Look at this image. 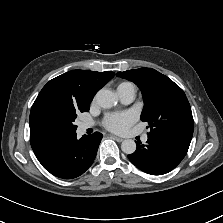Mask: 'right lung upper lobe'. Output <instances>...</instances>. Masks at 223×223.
Wrapping results in <instances>:
<instances>
[{
    "label": "right lung upper lobe",
    "instance_id": "1",
    "mask_svg": "<svg viewBox=\"0 0 223 223\" xmlns=\"http://www.w3.org/2000/svg\"><path fill=\"white\" fill-rule=\"evenodd\" d=\"M114 72H96L89 70H72L50 80L40 91L34 104L43 100H53L74 107L78 111L89 110L90 103L96 94L109 80ZM66 138V137H65ZM44 140L30 135L34 152H38L61 140Z\"/></svg>",
    "mask_w": 223,
    "mask_h": 223
}]
</instances>
